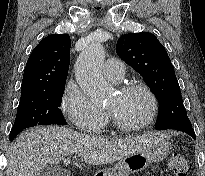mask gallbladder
<instances>
[{
	"instance_id": "obj_1",
	"label": "gallbladder",
	"mask_w": 205,
	"mask_h": 176,
	"mask_svg": "<svg viewBox=\"0 0 205 176\" xmlns=\"http://www.w3.org/2000/svg\"><path fill=\"white\" fill-rule=\"evenodd\" d=\"M39 176H66L60 168L54 165H47L42 168Z\"/></svg>"
}]
</instances>
